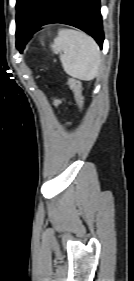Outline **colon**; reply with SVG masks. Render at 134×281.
Wrapping results in <instances>:
<instances>
[{
    "instance_id": "colon-1",
    "label": "colon",
    "mask_w": 134,
    "mask_h": 281,
    "mask_svg": "<svg viewBox=\"0 0 134 281\" xmlns=\"http://www.w3.org/2000/svg\"><path fill=\"white\" fill-rule=\"evenodd\" d=\"M68 85L74 94L75 101L80 111L84 108V99L82 94L81 83L75 78H68Z\"/></svg>"
}]
</instances>
